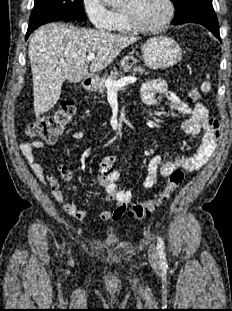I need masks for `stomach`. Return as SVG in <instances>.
<instances>
[{"label": "stomach", "instance_id": "stomach-1", "mask_svg": "<svg viewBox=\"0 0 232 311\" xmlns=\"http://www.w3.org/2000/svg\"><path fill=\"white\" fill-rule=\"evenodd\" d=\"M142 56L148 67L164 69L176 65L182 59V49L174 39L167 36H157L144 43ZM98 80L93 79L92 89H97Z\"/></svg>", "mask_w": 232, "mask_h": 311}]
</instances>
